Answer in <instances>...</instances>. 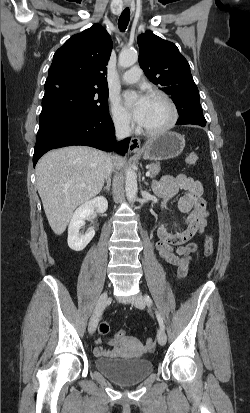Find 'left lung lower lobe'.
<instances>
[{"mask_svg":"<svg viewBox=\"0 0 250 413\" xmlns=\"http://www.w3.org/2000/svg\"><path fill=\"white\" fill-rule=\"evenodd\" d=\"M178 113L179 119L177 120V125L195 124L204 127L206 124L203 112L200 110L191 111V109L182 108L178 110Z\"/></svg>","mask_w":250,"mask_h":413,"instance_id":"left-lung-lower-lobe-1","label":"left lung lower lobe"}]
</instances>
